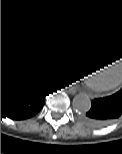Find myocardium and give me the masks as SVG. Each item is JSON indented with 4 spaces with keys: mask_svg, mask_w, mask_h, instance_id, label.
<instances>
[{
    "mask_svg": "<svg viewBox=\"0 0 122 154\" xmlns=\"http://www.w3.org/2000/svg\"><path fill=\"white\" fill-rule=\"evenodd\" d=\"M120 71H121V73H120V75L117 79H114V80H112L111 82H108V83L92 82L90 84V89L93 90V91L100 92V91H107V90H110V89L117 87L120 83H122V68L120 69Z\"/></svg>",
    "mask_w": 122,
    "mask_h": 154,
    "instance_id": "obj_1",
    "label": "myocardium"
}]
</instances>
